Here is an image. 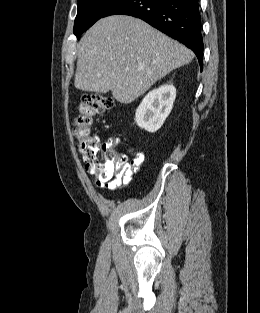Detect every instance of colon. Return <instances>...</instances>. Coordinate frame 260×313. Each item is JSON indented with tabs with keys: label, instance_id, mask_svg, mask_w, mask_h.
<instances>
[{
	"label": "colon",
	"instance_id": "1",
	"mask_svg": "<svg viewBox=\"0 0 260 313\" xmlns=\"http://www.w3.org/2000/svg\"><path fill=\"white\" fill-rule=\"evenodd\" d=\"M113 105L114 102L110 97L97 93L85 94L80 101L72 126V133L86 169L102 181L121 176L127 168L126 156L114 148L117 141L111 140L104 144L93 132L96 116L110 110Z\"/></svg>",
	"mask_w": 260,
	"mask_h": 313
}]
</instances>
